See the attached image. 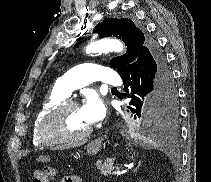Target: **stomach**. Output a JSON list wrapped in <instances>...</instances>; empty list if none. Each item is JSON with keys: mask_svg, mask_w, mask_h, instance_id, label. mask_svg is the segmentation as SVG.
Wrapping results in <instances>:
<instances>
[{"mask_svg": "<svg viewBox=\"0 0 211 182\" xmlns=\"http://www.w3.org/2000/svg\"><path fill=\"white\" fill-rule=\"evenodd\" d=\"M101 145H102V139H97V140L92 141L91 143L87 145V148H86L87 153L90 155L96 154L100 150Z\"/></svg>", "mask_w": 211, "mask_h": 182, "instance_id": "obj_1", "label": "stomach"}]
</instances>
